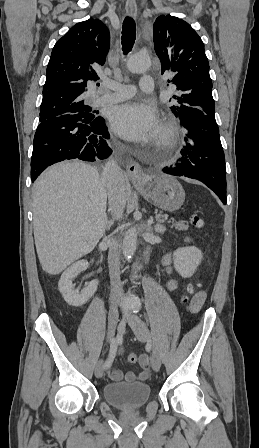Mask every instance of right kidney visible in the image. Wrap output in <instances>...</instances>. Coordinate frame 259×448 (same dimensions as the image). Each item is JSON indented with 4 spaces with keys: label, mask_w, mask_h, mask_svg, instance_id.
<instances>
[{
    "label": "right kidney",
    "mask_w": 259,
    "mask_h": 448,
    "mask_svg": "<svg viewBox=\"0 0 259 448\" xmlns=\"http://www.w3.org/2000/svg\"><path fill=\"white\" fill-rule=\"evenodd\" d=\"M87 268V260L75 262V264H72L70 268H67V270L63 272L58 282V290L61 292L65 302H67L69 306H83V304H86V302L92 298L97 290L98 280L90 282L86 288H83L82 292L75 290L74 284H72L73 278H76L79 272H83V270H87Z\"/></svg>",
    "instance_id": "obj_1"
}]
</instances>
